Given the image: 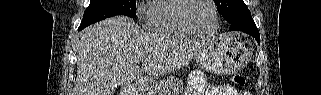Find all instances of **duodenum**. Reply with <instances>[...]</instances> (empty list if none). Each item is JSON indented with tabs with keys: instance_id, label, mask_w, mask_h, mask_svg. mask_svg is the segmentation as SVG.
Segmentation results:
<instances>
[{
	"instance_id": "1",
	"label": "duodenum",
	"mask_w": 321,
	"mask_h": 95,
	"mask_svg": "<svg viewBox=\"0 0 321 95\" xmlns=\"http://www.w3.org/2000/svg\"><path fill=\"white\" fill-rule=\"evenodd\" d=\"M138 94H140V93H138ZM120 95H131V93L129 92V90L125 89V90H123V91L121 92Z\"/></svg>"
}]
</instances>
